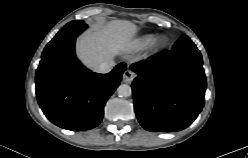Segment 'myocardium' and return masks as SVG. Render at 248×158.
Wrapping results in <instances>:
<instances>
[{
    "instance_id": "myocardium-1",
    "label": "myocardium",
    "mask_w": 248,
    "mask_h": 158,
    "mask_svg": "<svg viewBox=\"0 0 248 158\" xmlns=\"http://www.w3.org/2000/svg\"><path fill=\"white\" fill-rule=\"evenodd\" d=\"M153 46L156 49H160L165 46L166 44V38L164 36H158L153 41Z\"/></svg>"
}]
</instances>
